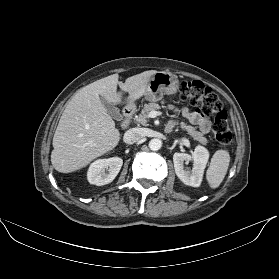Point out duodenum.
I'll list each match as a JSON object with an SVG mask.
<instances>
[{
  "instance_id": "1",
  "label": "duodenum",
  "mask_w": 279,
  "mask_h": 279,
  "mask_svg": "<svg viewBox=\"0 0 279 279\" xmlns=\"http://www.w3.org/2000/svg\"><path fill=\"white\" fill-rule=\"evenodd\" d=\"M132 111L130 109H126L124 111V119L121 123L122 127L127 128L130 124L131 118H132Z\"/></svg>"
}]
</instances>
